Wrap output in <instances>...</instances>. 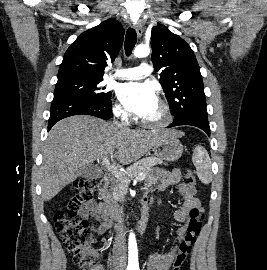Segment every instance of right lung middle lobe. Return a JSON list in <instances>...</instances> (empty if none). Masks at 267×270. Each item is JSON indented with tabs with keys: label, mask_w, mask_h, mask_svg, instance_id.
<instances>
[{
	"label": "right lung middle lobe",
	"mask_w": 267,
	"mask_h": 270,
	"mask_svg": "<svg viewBox=\"0 0 267 270\" xmlns=\"http://www.w3.org/2000/svg\"><path fill=\"white\" fill-rule=\"evenodd\" d=\"M103 78H88L82 76L58 77L54 98H73L83 101H108L111 92H104L99 87Z\"/></svg>",
	"instance_id": "obj_1"
}]
</instances>
